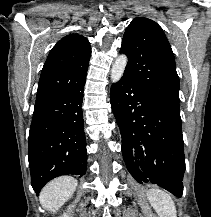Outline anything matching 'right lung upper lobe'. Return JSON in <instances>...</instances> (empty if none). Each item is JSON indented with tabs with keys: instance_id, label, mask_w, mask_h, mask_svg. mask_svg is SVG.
Segmentation results:
<instances>
[{
	"instance_id": "right-lung-upper-lobe-1",
	"label": "right lung upper lobe",
	"mask_w": 211,
	"mask_h": 217,
	"mask_svg": "<svg viewBox=\"0 0 211 217\" xmlns=\"http://www.w3.org/2000/svg\"><path fill=\"white\" fill-rule=\"evenodd\" d=\"M90 56V43L81 35L69 34L58 41L43 66L36 104L75 86L86 75Z\"/></svg>"
}]
</instances>
